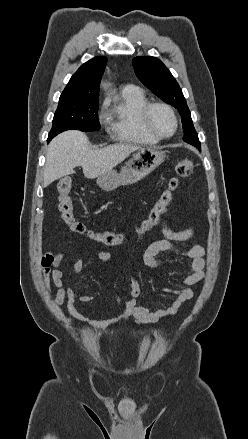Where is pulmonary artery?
Segmentation results:
<instances>
[{
	"label": "pulmonary artery",
	"mask_w": 248,
	"mask_h": 439,
	"mask_svg": "<svg viewBox=\"0 0 248 439\" xmlns=\"http://www.w3.org/2000/svg\"><path fill=\"white\" fill-rule=\"evenodd\" d=\"M134 88H135V86H133V85H131V84H128V85H125V86L123 87V90H122V91H132Z\"/></svg>",
	"instance_id": "e3ab8cb5"
}]
</instances>
